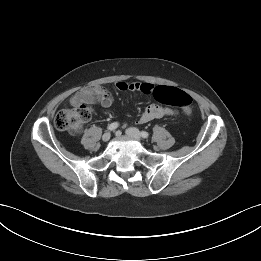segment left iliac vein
I'll use <instances>...</instances> for the list:
<instances>
[{"label": "left iliac vein", "instance_id": "4c4485c4", "mask_svg": "<svg viewBox=\"0 0 261 261\" xmlns=\"http://www.w3.org/2000/svg\"><path fill=\"white\" fill-rule=\"evenodd\" d=\"M126 134L136 140H141V133L139 132V130L137 128L134 127H130L128 129H126Z\"/></svg>", "mask_w": 261, "mask_h": 261}]
</instances>
